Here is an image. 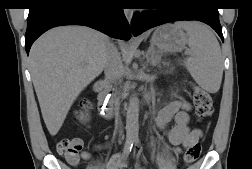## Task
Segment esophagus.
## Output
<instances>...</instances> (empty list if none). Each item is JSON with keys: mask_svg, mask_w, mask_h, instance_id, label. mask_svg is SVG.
Here are the masks:
<instances>
[{"mask_svg": "<svg viewBox=\"0 0 252 169\" xmlns=\"http://www.w3.org/2000/svg\"><path fill=\"white\" fill-rule=\"evenodd\" d=\"M124 13H125V16H126L127 21H128L129 24H130L131 21H132V17H133V11H132L131 9H125V10H124Z\"/></svg>", "mask_w": 252, "mask_h": 169, "instance_id": "34e87169", "label": "esophagus"}]
</instances>
